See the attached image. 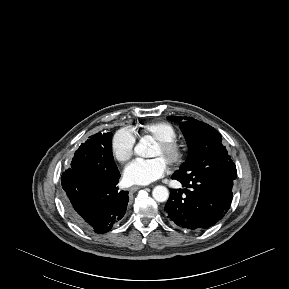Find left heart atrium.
I'll use <instances>...</instances> for the list:
<instances>
[{"label":"left heart atrium","instance_id":"39dd6f15","mask_svg":"<svg viewBox=\"0 0 289 289\" xmlns=\"http://www.w3.org/2000/svg\"><path fill=\"white\" fill-rule=\"evenodd\" d=\"M165 172L166 165L158 158L136 160L126 167L124 180L131 185H146L161 178Z\"/></svg>","mask_w":289,"mask_h":289}]
</instances>
